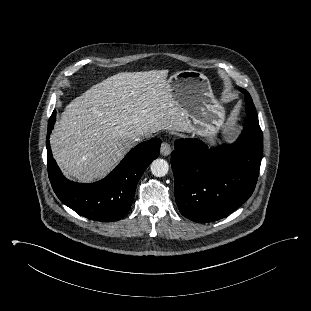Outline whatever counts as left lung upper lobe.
<instances>
[{"label": "left lung upper lobe", "instance_id": "left-lung-upper-lobe-1", "mask_svg": "<svg viewBox=\"0 0 311 311\" xmlns=\"http://www.w3.org/2000/svg\"><path fill=\"white\" fill-rule=\"evenodd\" d=\"M245 94V101H246V113L248 118H252L258 120V116L256 114L255 106L253 104L252 98L250 94L245 89H240Z\"/></svg>", "mask_w": 311, "mask_h": 311}]
</instances>
